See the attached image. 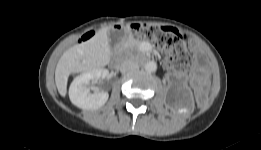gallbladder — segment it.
<instances>
[{"label":"gallbladder","mask_w":261,"mask_h":150,"mask_svg":"<svg viewBox=\"0 0 261 150\" xmlns=\"http://www.w3.org/2000/svg\"><path fill=\"white\" fill-rule=\"evenodd\" d=\"M122 32L117 30H110L108 32V40L112 50H114L116 44L121 42Z\"/></svg>","instance_id":"obj_1"}]
</instances>
